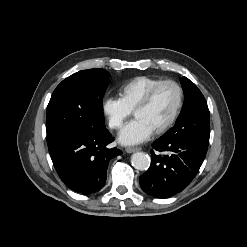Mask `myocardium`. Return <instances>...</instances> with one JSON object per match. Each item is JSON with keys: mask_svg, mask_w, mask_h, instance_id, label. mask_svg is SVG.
<instances>
[{"mask_svg": "<svg viewBox=\"0 0 247 247\" xmlns=\"http://www.w3.org/2000/svg\"><path fill=\"white\" fill-rule=\"evenodd\" d=\"M165 85H171L177 90L178 100H177L176 107H175L171 117L161 127H159L158 129H156L153 132L156 135H160V134H163L166 131H168L174 125L176 120L178 119V117L181 113V110L183 108V104H184V90H183L182 86L175 80H171V79L162 80L159 83H157L156 85H154L146 93L144 98L139 102V104L133 110V114L135 116V114L138 111L146 109L151 104L152 100L154 99V97H155L156 93L159 91V89Z\"/></svg>", "mask_w": 247, "mask_h": 247, "instance_id": "f54148a6", "label": "myocardium"}]
</instances>
